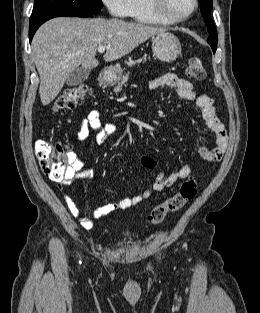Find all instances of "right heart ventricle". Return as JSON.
<instances>
[{
  "label": "right heart ventricle",
  "mask_w": 260,
  "mask_h": 313,
  "mask_svg": "<svg viewBox=\"0 0 260 313\" xmlns=\"http://www.w3.org/2000/svg\"><path fill=\"white\" fill-rule=\"evenodd\" d=\"M127 16L138 23L153 25L166 24L152 12L149 0H129Z\"/></svg>",
  "instance_id": "right-heart-ventricle-1"
}]
</instances>
